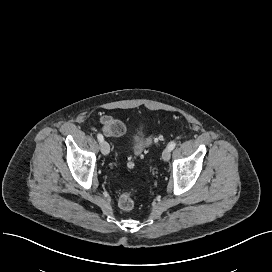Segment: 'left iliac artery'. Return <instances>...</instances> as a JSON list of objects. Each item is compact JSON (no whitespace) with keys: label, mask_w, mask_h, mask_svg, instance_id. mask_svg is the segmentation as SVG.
<instances>
[{"label":"left iliac artery","mask_w":272,"mask_h":272,"mask_svg":"<svg viewBox=\"0 0 272 272\" xmlns=\"http://www.w3.org/2000/svg\"><path fill=\"white\" fill-rule=\"evenodd\" d=\"M175 146H176V142L172 141V142L169 143L168 148L170 150H173L175 148Z\"/></svg>","instance_id":"44dca946"}]
</instances>
